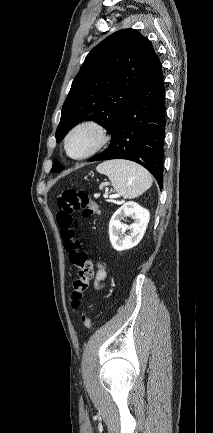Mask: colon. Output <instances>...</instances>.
<instances>
[{
	"instance_id": "5ec220e1",
	"label": "colon",
	"mask_w": 213,
	"mask_h": 433,
	"mask_svg": "<svg viewBox=\"0 0 213 433\" xmlns=\"http://www.w3.org/2000/svg\"><path fill=\"white\" fill-rule=\"evenodd\" d=\"M56 214L57 224L60 227L64 247L69 254L70 262L76 267V276L72 280L71 305L78 308L86 291L89 288L93 276L92 264L88 260L86 252L81 249V243L76 238L75 230L71 227L73 215L81 211L84 220L91 219L99 214L98 205L85 190L66 189L62 192L58 202ZM83 222L78 227L82 228ZM83 324L87 329L92 328V319L84 315Z\"/></svg>"
}]
</instances>
